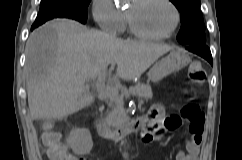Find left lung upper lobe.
<instances>
[{"instance_id": "5c2ea615", "label": "left lung upper lobe", "mask_w": 242, "mask_h": 160, "mask_svg": "<svg viewBox=\"0 0 242 160\" xmlns=\"http://www.w3.org/2000/svg\"><path fill=\"white\" fill-rule=\"evenodd\" d=\"M180 11L181 28L177 36L180 44L206 43L205 25L200 0H170Z\"/></svg>"}]
</instances>
